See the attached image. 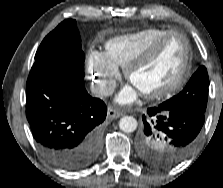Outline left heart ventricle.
<instances>
[{
	"label": "left heart ventricle",
	"mask_w": 223,
	"mask_h": 188,
	"mask_svg": "<svg viewBox=\"0 0 223 188\" xmlns=\"http://www.w3.org/2000/svg\"><path fill=\"white\" fill-rule=\"evenodd\" d=\"M184 59V42L179 36L169 37L159 49L131 76L132 85L140 92L155 91L171 82Z\"/></svg>",
	"instance_id": "left-heart-ventricle-1"
}]
</instances>
